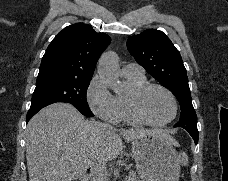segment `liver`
Listing matches in <instances>:
<instances>
[{"mask_svg": "<svg viewBox=\"0 0 228 181\" xmlns=\"http://www.w3.org/2000/svg\"><path fill=\"white\" fill-rule=\"evenodd\" d=\"M107 129L105 123L86 121L69 105L54 103L30 119L26 129V161L29 181H76L86 177L93 157L101 161L117 159L123 149L122 139L136 141L146 133L163 129ZM122 137V139H121ZM172 145L179 143L170 137Z\"/></svg>", "mask_w": 228, "mask_h": 181, "instance_id": "6515ba94", "label": "liver"}]
</instances>
